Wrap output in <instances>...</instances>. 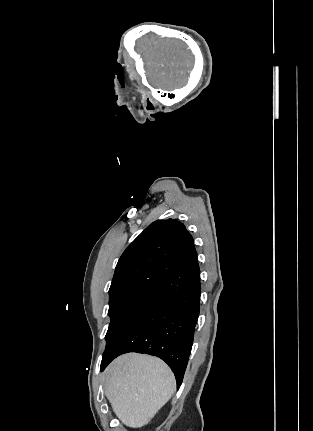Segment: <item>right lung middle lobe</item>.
Instances as JSON below:
<instances>
[{
	"label": "right lung middle lobe",
	"instance_id": "right-lung-middle-lobe-1",
	"mask_svg": "<svg viewBox=\"0 0 313 431\" xmlns=\"http://www.w3.org/2000/svg\"><path fill=\"white\" fill-rule=\"evenodd\" d=\"M147 293L130 292L110 296L108 315L111 318L106 334V344H108L124 325L129 316L147 297Z\"/></svg>",
	"mask_w": 313,
	"mask_h": 431
}]
</instances>
